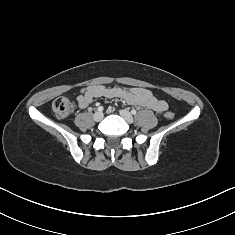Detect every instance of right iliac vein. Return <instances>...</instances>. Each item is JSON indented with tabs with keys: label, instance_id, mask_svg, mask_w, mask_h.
Segmentation results:
<instances>
[{
	"label": "right iliac vein",
	"instance_id": "right-iliac-vein-1",
	"mask_svg": "<svg viewBox=\"0 0 235 235\" xmlns=\"http://www.w3.org/2000/svg\"><path fill=\"white\" fill-rule=\"evenodd\" d=\"M103 116H104L103 113L98 111L94 114L93 118L95 121L99 122L103 119Z\"/></svg>",
	"mask_w": 235,
	"mask_h": 235
}]
</instances>
